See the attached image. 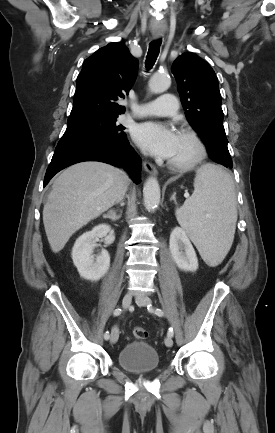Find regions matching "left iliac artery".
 Masks as SVG:
<instances>
[{"mask_svg": "<svg viewBox=\"0 0 275 433\" xmlns=\"http://www.w3.org/2000/svg\"><path fill=\"white\" fill-rule=\"evenodd\" d=\"M148 309H150V310H152V307H150V305H148ZM154 312H155V314L156 315H158V316H163L164 315V312L161 310V309H159V308H156L155 310H154ZM173 334H174V332H173V328H169V330H168V336H173Z\"/></svg>", "mask_w": 275, "mask_h": 433, "instance_id": "1", "label": "left iliac artery"}]
</instances>
